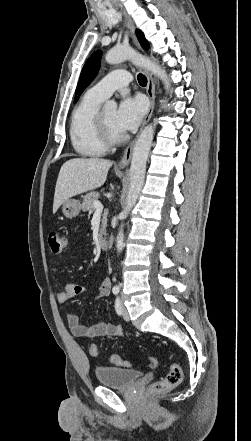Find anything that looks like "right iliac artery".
<instances>
[{"mask_svg":"<svg viewBox=\"0 0 251 441\" xmlns=\"http://www.w3.org/2000/svg\"><path fill=\"white\" fill-rule=\"evenodd\" d=\"M113 294L117 295L119 293V288H113Z\"/></svg>","mask_w":251,"mask_h":441,"instance_id":"obj_1","label":"right iliac artery"}]
</instances>
